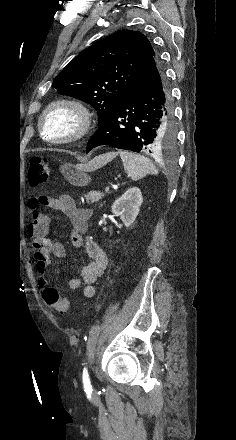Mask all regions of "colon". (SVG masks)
I'll return each mask as SVG.
<instances>
[{"label":"colon","instance_id":"obj_1","mask_svg":"<svg viewBox=\"0 0 236 440\" xmlns=\"http://www.w3.org/2000/svg\"><path fill=\"white\" fill-rule=\"evenodd\" d=\"M50 174L47 158L44 156L33 157L28 171V181L32 187L43 185ZM45 303L60 314L70 313V303L66 298L59 295L54 287H45L43 290Z\"/></svg>","mask_w":236,"mask_h":440}]
</instances>
